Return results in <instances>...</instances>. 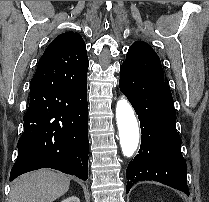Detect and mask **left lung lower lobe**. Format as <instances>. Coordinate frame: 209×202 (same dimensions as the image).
<instances>
[{"instance_id": "left-lung-lower-lobe-1", "label": "left lung lower lobe", "mask_w": 209, "mask_h": 202, "mask_svg": "<svg viewBox=\"0 0 209 202\" xmlns=\"http://www.w3.org/2000/svg\"><path fill=\"white\" fill-rule=\"evenodd\" d=\"M120 72V90L138 114L142 132L139 154L127 167V193L135 183L153 180L189 195L187 165L169 87L128 66L122 65Z\"/></svg>"}]
</instances>
